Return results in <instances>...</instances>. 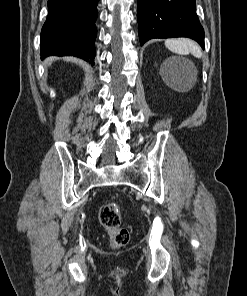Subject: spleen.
Listing matches in <instances>:
<instances>
[{
    "instance_id": "1",
    "label": "spleen",
    "mask_w": 247,
    "mask_h": 296,
    "mask_svg": "<svg viewBox=\"0 0 247 296\" xmlns=\"http://www.w3.org/2000/svg\"><path fill=\"white\" fill-rule=\"evenodd\" d=\"M165 46L179 55H188L191 53L196 58H201L202 56L200 47L194 41L186 38L167 39Z\"/></svg>"
}]
</instances>
